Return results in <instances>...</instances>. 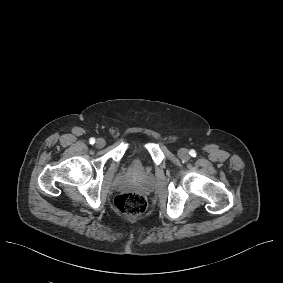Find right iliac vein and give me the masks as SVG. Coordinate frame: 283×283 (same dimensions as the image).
Segmentation results:
<instances>
[{"label": "right iliac vein", "instance_id": "1", "mask_svg": "<svg viewBox=\"0 0 283 283\" xmlns=\"http://www.w3.org/2000/svg\"><path fill=\"white\" fill-rule=\"evenodd\" d=\"M95 145L97 148H102L105 146V140L103 138H98Z\"/></svg>", "mask_w": 283, "mask_h": 283}]
</instances>
